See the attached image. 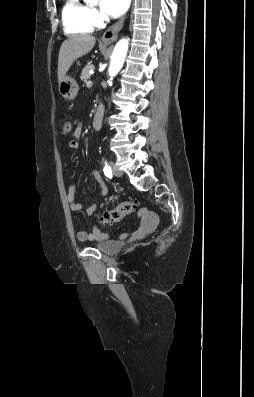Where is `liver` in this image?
<instances>
[{"instance_id":"1","label":"liver","mask_w":254,"mask_h":397,"mask_svg":"<svg viewBox=\"0 0 254 397\" xmlns=\"http://www.w3.org/2000/svg\"><path fill=\"white\" fill-rule=\"evenodd\" d=\"M96 38L89 34L75 35L66 39L59 50L58 82L60 83L66 72L77 58L88 54L94 47Z\"/></svg>"}]
</instances>
